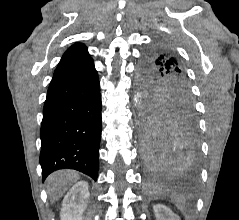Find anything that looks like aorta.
Wrapping results in <instances>:
<instances>
[{
  "mask_svg": "<svg viewBox=\"0 0 239 220\" xmlns=\"http://www.w3.org/2000/svg\"><path fill=\"white\" fill-rule=\"evenodd\" d=\"M139 96H137V98H138ZM135 101L137 102V99L135 98Z\"/></svg>",
  "mask_w": 239,
  "mask_h": 220,
  "instance_id": "obj_1",
  "label": "aorta"
}]
</instances>
